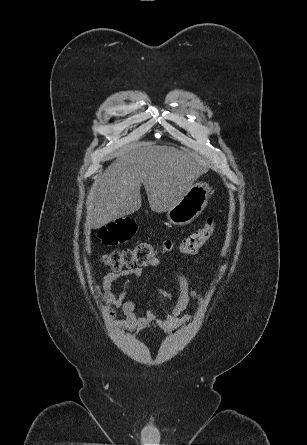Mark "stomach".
<instances>
[{"mask_svg":"<svg viewBox=\"0 0 307 445\" xmlns=\"http://www.w3.org/2000/svg\"><path fill=\"white\" fill-rule=\"evenodd\" d=\"M211 188L207 182H194L184 196L169 208L166 216L172 225H188L204 210Z\"/></svg>","mask_w":307,"mask_h":445,"instance_id":"obj_1","label":"stomach"}]
</instances>
